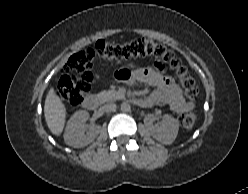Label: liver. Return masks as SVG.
I'll return each instance as SVG.
<instances>
[{
    "label": "liver",
    "instance_id": "1",
    "mask_svg": "<svg viewBox=\"0 0 248 194\" xmlns=\"http://www.w3.org/2000/svg\"><path fill=\"white\" fill-rule=\"evenodd\" d=\"M66 108L60 97L56 94L53 87L50 88L45 99L44 116L48 128L59 136L66 122Z\"/></svg>",
    "mask_w": 248,
    "mask_h": 194
}]
</instances>
